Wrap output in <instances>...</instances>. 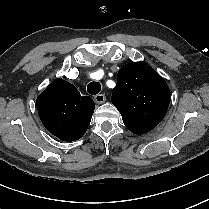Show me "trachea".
<instances>
[{
    "label": "trachea",
    "instance_id": "trachea-1",
    "mask_svg": "<svg viewBox=\"0 0 209 209\" xmlns=\"http://www.w3.org/2000/svg\"><path fill=\"white\" fill-rule=\"evenodd\" d=\"M101 90V84L99 82H90L87 85V92L91 95H96L100 92Z\"/></svg>",
    "mask_w": 209,
    "mask_h": 209
}]
</instances>
